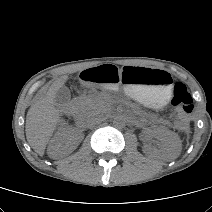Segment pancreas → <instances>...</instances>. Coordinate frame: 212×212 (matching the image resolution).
Returning <instances> with one entry per match:
<instances>
[{
  "instance_id": "obj_1",
  "label": "pancreas",
  "mask_w": 212,
  "mask_h": 212,
  "mask_svg": "<svg viewBox=\"0 0 212 212\" xmlns=\"http://www.w3.org/2000/svg\"><path fill=\"white\" fill-rule=\"evenodd\" d=\"M76 103L82 111L99 110L107 106V103L99 96L82 95L76 98Z\"/></svg>"
}]
</instances>
